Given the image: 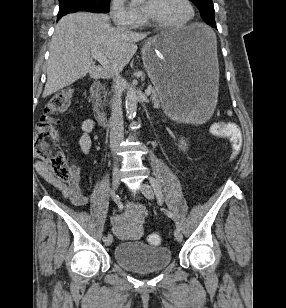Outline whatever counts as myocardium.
<instances>
[{"mask_svg": "<svg viewBox=\"0 0 286 308\" xmlns=\"http://www.w3.org/2000/svg\"><path fill=\"white\" fill-rule=\"evenodd\" d=\"M184 2L186 3V5L189 9V12H190L189 17L185 21L180 22V23H175V24H168V23L155 21L149 16L148 17L149 24L154 26L157 29H163V30L179 29V28H183V27L191 24L194 21L195 15H196L195 7H194L191 0H184Z\"/></svg>", "mask_w": 286, "mask_h": 308, "instance_id": "f54148a6", "label": "myocardium"}]
</instances>
